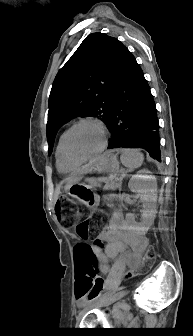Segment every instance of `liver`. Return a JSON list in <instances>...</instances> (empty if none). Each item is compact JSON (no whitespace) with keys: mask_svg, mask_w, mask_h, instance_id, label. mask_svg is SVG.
<instances>
[{"mask_svg":"<svg viewBox=\"0 0 193 336\" xmlns=\"http://www.w3.org/2000/svg\"><path fill=\"white\" fill-rule=\"evenodd\" d=\"M96 159L91 160L88 164L82 166V168L78 169L74 174L66 179V185L64 190L67 192L69 189L76 183H78L82 178L83 175L88 173L90 167L96 162Z\"/></svg>","mask_w":193,"mask_h":336,"instance_id":"6515ba94","label":"liver"}]
</instances>
